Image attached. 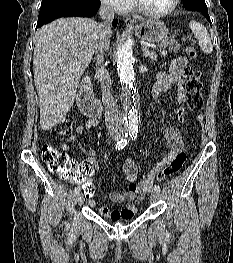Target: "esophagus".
I'll use <instances>...</instances> for the list:
<instances>
[{
	"label": "esophagus",
	"instance_id": "esophagus-1",
	"mask_svg": "<svg viewBox=\"0 0 233 263\" xmlns=\"http://www.w3.org/2000/svg\"><path fill=\"white\" fill-rule=\"evenodd\" d=\"M125 25H126V27H128V28H133V27H134V21H133L132 19H130V18H127V19L125 20Z\"/></svg>",
	"mask_w": 233,
	"mask_h": 263
}]
</instances>
